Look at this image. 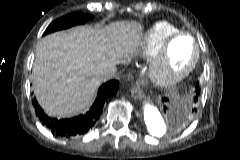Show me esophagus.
Returning <instances> with one entry per match:
<instances>
[{"instance_id": "esophagus-1", "label": "esophagus", "mask_w": 240, "mask_h": 160, "mask_svg": "<svg viewBox=\"0 0 240 160\" xmlns=\"http://www.w3.org/2000/svg\"><path fill=\"white\" fill-rule=\"evenodd\" d=\"M131 95L134 99H142L144 97L143 84L136 82L131 88Z\"/></svg>"}]
</instances>
